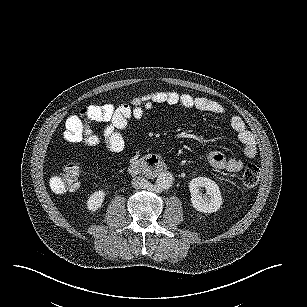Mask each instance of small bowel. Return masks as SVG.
Masks as SVG:
<instances>
[{
  "mask_svg": "<svg viewBox=\"0 0 307 307\" xmlns=\"http://www.w3.org/2000/svg\"><path fill=\"white\" fill-rule=\"evenodd\" d=\"M156 104H166L180 109H197L203 112L222 115L224 106L206 97H195L187 93L176 91H156L131 99L130 103L114 107L107 104L104 107L88 105L92 111L94 120L106 122L103 130V138L106 147L113 152H119L124 148V129L131 120H142L149 117L150 111ZM230 126L236 132L239 141L243 145L244 156L252 159L257 154L256 141L253 134L247 129L241 117H230ZM82 123L78 115H71L65 123L63 137L67 142L77 143L82 139ZM209 164L219 170L239 172L243 168V161L235 157H227L222 152L214 150L208 154Z\"/></svg>",
  "mask_w": 307,
  "mask_h": 307,
  "instance_id": "small-bowel-1",
  "label": "small bowel"
}]
</instances>
